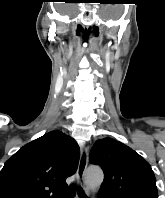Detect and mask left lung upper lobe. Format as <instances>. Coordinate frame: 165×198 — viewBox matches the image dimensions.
<instances>
[{
	"label": "left lung upper lobe",
	"instance_id": "obj_1",
	"mask_svg": "<svg viewBox=\"0 0 165 198\" xmlns=\"http://www.w3.org/2000/svg\"><path fill=\"white\" fill-rule=\"evenodd\" d=\"M96 144L90 162L101 166L105 174L99 191L113 198H158L151 166L138 153L112 138Z\"/></svg>",
	"mask_w": 165,
	"mask_h": 198
}]
</instances>
